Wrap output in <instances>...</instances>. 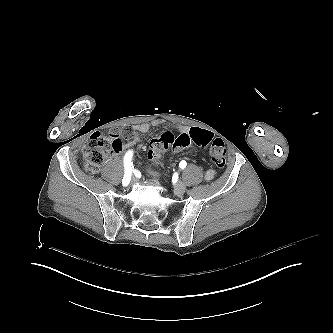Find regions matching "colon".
Returning <instances> with one entry per match:
<instances>
[{"instance_id":"obj_1","label":"colon","mask_w":333,"mask_h":333,"mask_svg":"<svg viewBox=\"0 0 333 333\" xmlns=\"http://www.w3.org/2000/svg\"><path fill=\"white\" fill-rule=\"evenodd\" d=\"M182 134L175 139L174 134L165 130L153 137L148 147V157L151 160H158L167 150L171 153L184 151L187 143L192 142L196 149L203 150L207 147L210 151L212 162L220 169L226 165L227 150L224 142L216 138L213 130H200L188 125ZM132 138V130L129 127H122L118 130L100 131L92 134L83 147V161L89 173L99 171L106 157L115 152L122 145V141H129Z\"/></svg>"}]
</instances>
